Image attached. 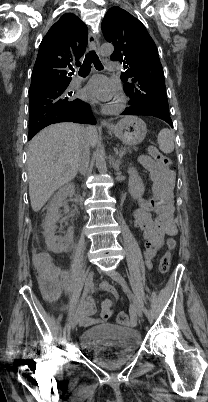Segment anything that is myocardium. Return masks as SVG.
Here are the masks:
<instances>
[{
	"instance_id": "f54148a6",
	"label": "myocardium",
	"mask_w": 208,
	"mask_h": 402,
	"mask_svg": "<svg viewBox=\"0 0 208 402\" xmlns=\"http://www.w3.org/2000/svg\"><path fill=\"white\" fill-rule=\"evenodd\" d=\"M118 101H119V102H122V99H119Z\"/></svg>"
}]
</instances>
